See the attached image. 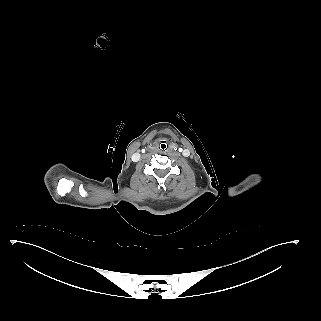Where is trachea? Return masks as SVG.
I'll return each mask as SVG.
<instances>
[{
  "label": "trachea",
  "mask_w": 321,
  "mask_h": 321,
  "mask_svg": "<svg viewBox=\"0 0 321 321\" xmlns=\"http://www.w3.org/2000/svg\"><path fill=\"white\" fill-rule=\"evenodd\" d=\"M158 148H159V151H160V152H163V153H164V152H167V151H168V148H169V147H168V144H167V143H164V142H163V143H160V144H159V147H158Z\"/></svg>",
  "instance_id": "trachea-1"
}]
</instances>
